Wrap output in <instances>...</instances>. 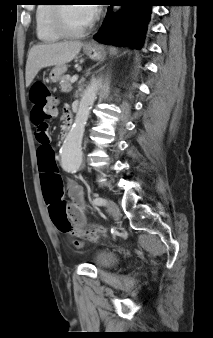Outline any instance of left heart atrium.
<instances>
[{
  "label": "left heart atrium",
  "instance_id": "left-heart-atrium-1",
  "mask_svg": "<svg viewBox=\"0 0 213 338\" xmlns=\"http://www.w3.org/2000/svg\"><path fill=\"white\" fill-rule=\"evenodd\" d=\"M81 9L89 22H92L96 18L97 8L94 5H84Z\"/></svg>",
  "mask_w": 213,
  "mask_h": 338
}]
</instances>
